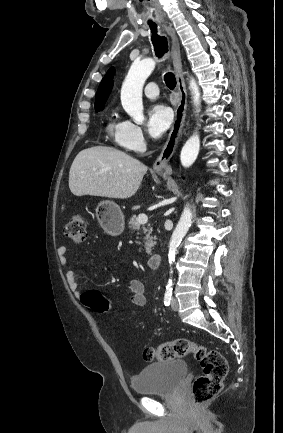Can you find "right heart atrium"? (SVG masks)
I'll return each instance as SVG.
<instances>
[{
  "label": "right heart atrium",
  "mask_w": 283,
  "mask_h": 433,
  "mask_svg": "<svg viewBox=\"0 0 283 433\" xmlns=\"http://www.w3.org/2000/svg\"><path fill=\"white\" fill-rule=\"evenodd\" d=\"M115 142L131 154H140L146 147L141 128L130 120H125L120 124L115 132Z\"/></svg>",
  "instance_id": "d8ad5b80"
}]
</instances>
